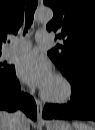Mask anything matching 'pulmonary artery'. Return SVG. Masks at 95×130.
Segmentation results:
<instances>
[{"instance_id": "obj_1", "label": "pulmonary artery", "mask_w": 95, "mask_h": 130, "mask_svg": "<svg viewBox=\"0 0 95 130\" xmlns=\"http://www.w3.org/2000/svg\"><path fill=\"white\" fill-rule=\"evenodd\" d=\"M35 40L37 43L43 44L51 41V36L46 31H38L35 35ZM31 42L28 40L18 41L15 39L13 43L6 47L4 50L5 57H13L21 53H25L31 49Z\"/></svg>"}]
</instances>
